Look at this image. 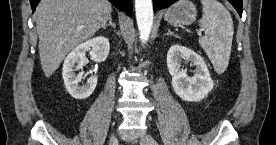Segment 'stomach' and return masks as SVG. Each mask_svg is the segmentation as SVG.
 I'll use <instances>...</instances> for the list:
<instances>
[{
	"label": "stomach",
	"mask_w": 276,
	"mask_h": 145,
	"mask_svg": "<svg viewBox=\"0 0 276 145\" xmlns=\"http://www.w3.org/2000/svg\"><path fill=\"white\" fill-rule=\"evenodd\" d=\"M196 7L189 0H180L165 13L164 19L171 25H189L196 19Z\"/></svg>",
	"instance_id": "1"
}]
</instances>
